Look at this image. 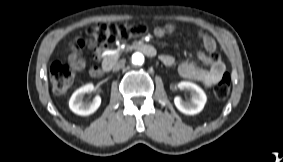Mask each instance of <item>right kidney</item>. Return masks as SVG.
Wrapping results in <instances>:
<instances>
[{"label": "right kidney", "mask_w": 283, "mask_h": 162, "mask_svg": "<svg viewBox=\"0 0 283 162\" xmlns=\"http://www.w3.org/2000/svg\"><path fill=\"white\" fill-rule=\"evenodd\" d=\"M93 90L94 85L92 83H88L77 89L72 94L69 100V107L75 114L87 116L94 113L99 108L101 104L100 96H96L90 103H85L83 101L84 95L92 92Z\"/></svg>", "instance_id": "right-kidney-1"}]
</instances>
